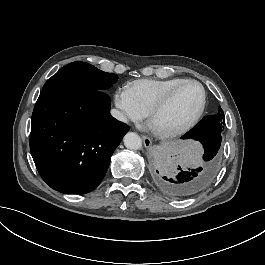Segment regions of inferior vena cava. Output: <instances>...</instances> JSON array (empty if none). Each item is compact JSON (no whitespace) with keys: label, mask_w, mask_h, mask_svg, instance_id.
I'll list each match as a JSON object with an SVG mask.
<instances>
[{"label":"inferior vena cava","mask_w":265,"mask_h":265,"mask_svg":"<svg viewBox=\"0 0 265 265\" xmlns=\"http://www.w3.org/2000/svg\"><path fill=\"white\" fill-rule=\"evenodd\" d=\"M111 115L116 118L117 120L119 121H122V122H127V118L123 115V113H121L119 110L117 109H112L111 110Z\"/></svg>","instance_id":"1"}]
</instances>
